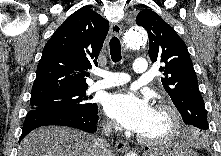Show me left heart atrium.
Returning a JSON list of instances; mask_svg holds the SVG:
<instances>
[{"mask_svg": "<svg viewBox=\"0 0 221 156\" xmlns=\"http://www.w3.org/2000/svg\"><path fill=\"white\" fill-rule=\"evenodd\" d=\"M106 113L121 127L142 134L151 122L154 108L147 96L135 89L111 94L104 101Z\"/></svg>", "mask_w": 221, "mask_h": 156, "instance_id": "39dd6f15", "label": "left heart atrium"}]
</instances>
